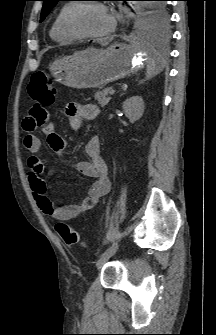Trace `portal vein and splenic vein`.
Instances as JSON below:
<instances>
[{
    "mask_svg": "<svg viewBox=\"0 0 216 335\" xmlns=\"http://www.w3.org/2000/svg\"><path fill=\"white\" fill-rule=\"evenodd\" d=\"M114 93H115V89H111L110 95H114Z\"/></svg>",
    "mask_w": 216,
    "mask_h": 335,
    "instance_id": "18ae733b",
    "label": "portal vein and splenic vein"
}]
</instances>
